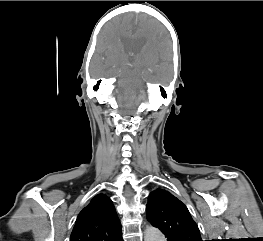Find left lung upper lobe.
<instances>
[{"label": "left lung upper lobe", "mask_w": 263, "mask_h": 241, "mask_svg": "<svg viewBox=\"0 0 263 241\" xmlns=\"http://www.w3.org/2000/svg\"><path fill=\"white\" fill-rule=\"evenodd\" d=\"M148 221L176 241H202L197 224L178 198L163 189L152 191L146 207Z\"/></svg>", "instance_id": "1"}]
</instances>
